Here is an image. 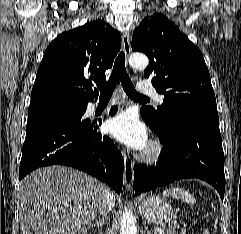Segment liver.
I'll return each instance as SVG.
<instances>
[{
	"mask_svg": "<svg viewBox=\"0 0 241 234\" xmlns=\"http://www.w3.org/2000/svg\"><path fill=\"white\" fill-rule=\"evenodd\" d=\"M103 184L54 165L27 175L19 189L21 234H85L102 202Z\"/></svg>",
	"mask_w": 241,
	"mask_h": 234,
	"instance_id": "6515ba94",
	"label": "liver"
}]
</instances>
